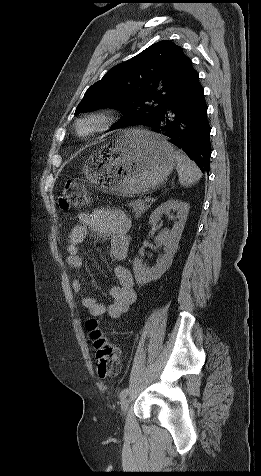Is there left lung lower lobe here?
<instances>
[{
	"label": "left lung lower lobe",
	"mask_w": 261,
	"mask_h": 476,
	"mask_svg": "<svg viewBox=\"0 0 261 476\" xmlns=\"http://www.w3.org/2000/svg\"><path fill=\"white\" fill-rule=\"evenodd\" d=\"M152 127L168 142L184 151L190 159L209 173L211 127L207 119V105L196 71L184 87L172 97L167 106L151 121Z\"/></svg>",
	"instance_id": "left-lung-lower-lobe-1"
}]
</instances>
